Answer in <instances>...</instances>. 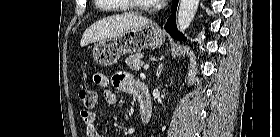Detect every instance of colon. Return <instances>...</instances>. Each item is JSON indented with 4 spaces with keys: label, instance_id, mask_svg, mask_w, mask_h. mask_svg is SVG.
<instances>
[{
    "label": "colon",
    "instance_id": "1",
    "mask_svg": "<svg viewBox=\"0 0 280 137\" xmlns=\"http://www.w3.org/2000/svg\"><path fill=\"white\" fill-rule=\"evenodd\" d=\"M79 98L81 103L87 107L92 108L97 102V93L92 89H81L79 91Z\"/></svg>",
    "mask_w": 280,
    "mask_h": 137
}]
</instances>
